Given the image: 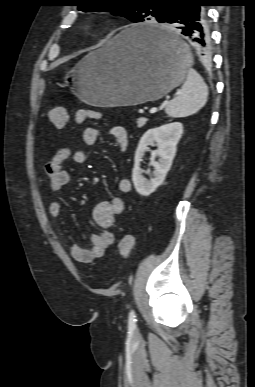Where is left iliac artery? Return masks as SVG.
Masks as SVG:
<instances>
[{
	"instance_id": "44dca946",
	"label": "left iliac artery",
	"mask_w": 255,
	"mask_h": 387,
	"mask_svg": "<svg viewBox=\"0 0 255 387\" xmlns=\"http://www.w3.org/2000/svg\"><path fill=\"white\" fill-rule=\"evenodd\" d=\"M136 322H137V319H136L135 311L131 310L128 316L129 327L134 329L136 327Z\"/></svg>"
}]
</instances>
